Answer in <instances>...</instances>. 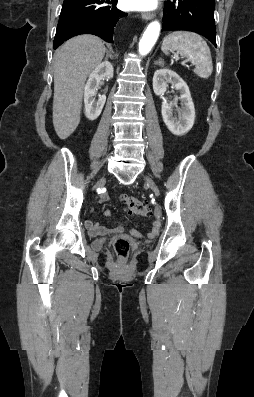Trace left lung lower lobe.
Segmentation results:
<instances>
[{
    "instance_id": "left-lung-lower-lobe-1",
    "label": "left lung lower lobe",
    "mask_w": 254,
    "mask_h": 397,
    "mask_svg": "<svg viewBox=\"0 0 254 397\" xmlns=\"http://www.w3.org/2000/svg\"><path fill=\"white\" fill-rule=\"evenodd\" d=\"M215 0H173L165 2L162 31L187 30L209 39L215 47Z\"/></svg>"
}]
</instances>
